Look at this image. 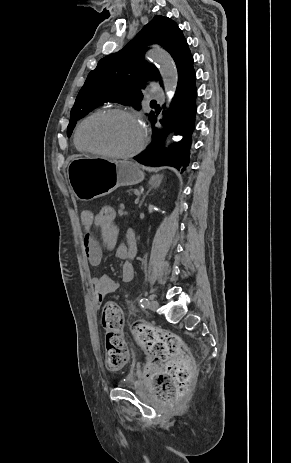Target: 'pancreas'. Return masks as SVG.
Instances as JSON below:
<instances>
[{
    "instance_id": "1",
    "label": "pancreas",
    "mask_w": 291,
    "mask_h": 463,
    "mask_svg": "<svg viewBox=\"0 0 291 463\" xmlns=\"http://www.w3.org/2000/svg\"><path fill=\"white\" fill-rule=\"evenodd\" d=\"M134 191H135L134 189L129 188V189L124 190V194H125L126 196H132L133 193H134Z\"/></svg>"
}]
</instances>
